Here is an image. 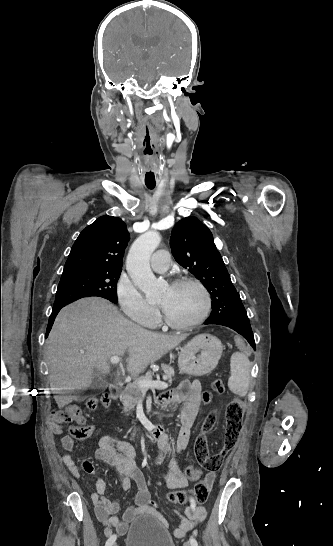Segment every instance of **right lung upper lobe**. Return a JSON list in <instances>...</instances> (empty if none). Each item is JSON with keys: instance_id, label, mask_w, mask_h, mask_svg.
<instances>
[{"instance_id": "1", "label": "right lung upper lobe", "mask_w": 333, "mask_h": 546, "mask_svg": "<svg viewBox=\"0 0 333 546\" xmlns=\"http://www.w3.org/2000/svg\"><path fill=\"white\" fill-rule=\"evenodd\" d=\"M129 241L126 224L118 217L101 216L78 236L65 263L63 274L122 270Z\"/></svg>"}]
</instances>
